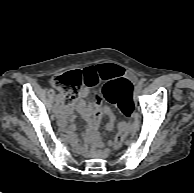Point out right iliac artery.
I'll return each mask as SVG.
<instances>
[{
	"mask_svg": "<svg viewBox=\"0 0 194 193\" xmlns=\"http://www.w3.org/2000/svg\"><path fill=\"white\" fill-rule=\"evenodd\" d=\"M59 91H60V93L62 94V91H61V89H59Z\"/></svg>",
	"mask_w": 194,
	"mask_h": 193,
	"instance_id": "82829eb1",
	"label": "right iliac artery"
}]
</instances>
